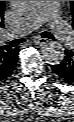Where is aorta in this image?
<instances>
[{"label": "aorta", "mask_w": 74, "mask_h": 122, "mask_svg": "<svg viewBox=\"0 0 74 122\" xmlns=\"http://www.w3.org/2000/svg\"><path fill=\"white\" fill-rule=\"evenodd\" d=\"M38 3L39 1H11L12 7L21 13L34 9ZM42 56L46 63L57 65L65 57L64 47L58 42H49L42 48Z\"/></svg>", "instance_id": "aorta-1"}]
</instances>
